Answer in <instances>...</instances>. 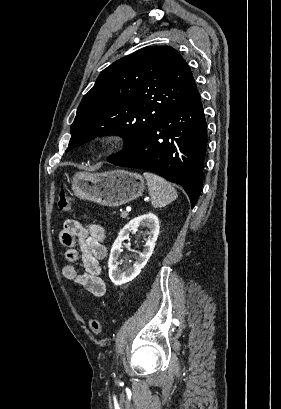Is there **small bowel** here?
<instances>
[{"label":"small bowel","mask_w":281,"mask_h":409,"mask_svg":"<svg viewBox=\"0 0 281 409\" xmlns=\"http://www.w3.org/2000/svg\"><path fill=\"white\" fill-rule=\"evenodd\" d=\"M59 239L66 247L64 257L68 264L63 267V275L79 287V293L86 291L94 296H104L106 284L101 278L100 261L106 256L103 229L96 224H87L74 219H66L59 232ZM81 259L84 268L79 272L74 265Z\"/></svg>","instance_id":"c3829d8e"}]
</instances>
